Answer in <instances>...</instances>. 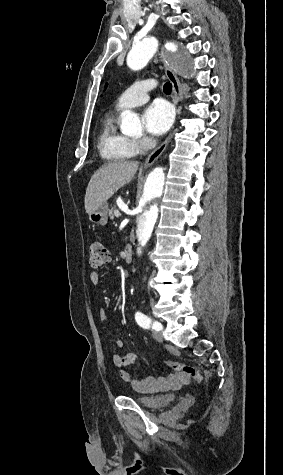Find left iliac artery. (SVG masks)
I'll return each instance as SVG.
<instances>
[{
  "label": "left iliac artery",
  "mask_w": 283,
  "mask_h": 475,
  "mask_svg": "<svg viewBox=\"0 0 283 475\" xmlns=\"http://www.w3.org/2000/svg\"><path fill=\"white\" fill-rule=\"evenodd\" d=\"M135 320L138 323V325H140L143 328L152 327L153 329L158 330V331L162 329V325L160 323L158 322L152 323V320L148 316L143 314L142 312H136Z\"/></svg>",
  "instance_id": "obj_1"
}]
</instances>
